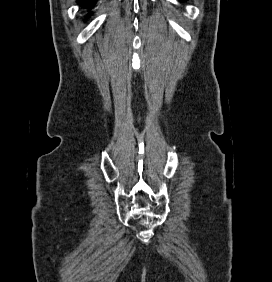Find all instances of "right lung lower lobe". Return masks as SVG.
I'll return each mask as SVG.
<instances>
[{"mask_svg":"<svg viewBox=\"0 0 272 282\" xmlns=\"http://www.w3.org/2000/svg\"><path fill=\"white\" fill-rule=\"evenodd\" d=\"M96 0H78L79 4H82L85 7H90L95 3Z\"/></svg>","mask_w":272,"mask_h":282,"instance_id":"right-lung-lower-lobe-1","label":"right lung lower lobe"}]
</instances>
